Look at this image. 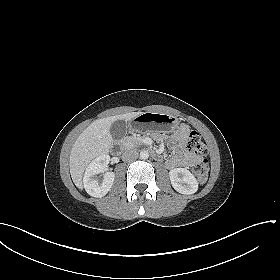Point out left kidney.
Returning <instances> with one entry per match:
<instances>
[{"mask_svg":"<svg viewBox=\"0 0 280 280\" xmlns=\"http://www.w3.org/2000/svg\"><path fill=\"white\" fill-rule=\"evenodd\" d=\"M169 177L173 188L181 194H194L198 190V182L186 168L170 170Z\"/></svg>","mask_w":280,"mask_h":280,"instance_id":"5707ae66","label":"left kidney"}]
</instances>
